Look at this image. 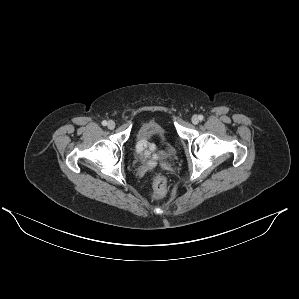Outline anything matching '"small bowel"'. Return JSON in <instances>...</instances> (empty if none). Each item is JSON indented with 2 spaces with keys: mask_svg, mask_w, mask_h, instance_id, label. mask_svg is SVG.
Instances as JSON below:
<instances>
[{
  "mask_svg": "<svg viewBox=\"0 0 299 299\" xmlns=\"http://www.w3.org/2000/svg\"><path fill=\"white\" fill-rule=\"evenodd\" d=\"M137 152L143 157L149 165H152L157 159V147L153 143L141 142L136 146Z\"/></svg>",
  "mask_w": 299,
  "mask_h": 299,
  "instance_id": "1",
  "label": "small bowel"
}]
</instances>
